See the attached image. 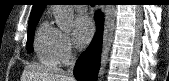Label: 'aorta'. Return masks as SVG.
I'll list each match as a JSON object with an SVG mask.
<instances>
[{
	"label": "aorta",
	"mask_w": 169,
	"mask_h": 81,
	"mask_svg": "<svg viewBox=\"0 0 169 81\" xmlns=\"http://www.w3.org/2000/svg\"><path fill=\"white\" fill-rule=\"evenodd\" d=\"M55 21L62 31H70L73 26L74 11L71 5H54L53 8ZM104 11V32L101 52V65L98 73V79L103 81L106 66L109 59V53L114 36L117 9L116 5H105Z\"/></svg>",
	"instance_id": "aorta-1"
}]
</instances>
